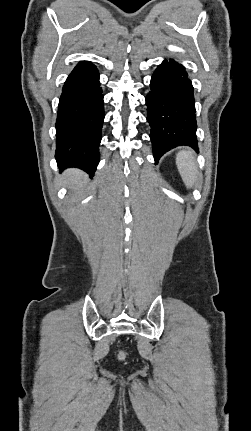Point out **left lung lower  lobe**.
Masks as SVG:
<instances>
[{"label": "left lung lower lobe", "mask_w": 251, "mask_h": 431, "mask_svg": "<svg viewBox=\"0 0 251 431\" xmlns=\"http://www.w3.org/2000/svg\"><path fill=\"white\" fill-rule=\"evenodd\" d=\"M146 105L156 163L164 153L180 145L197 150L193 86L181 64L170 59L157 67Z\"/></svg>", "instance_id": "left-lung-lower-lobe-1"}]
</instances>
